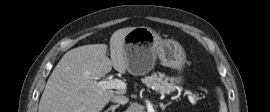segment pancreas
<instances>
[{"instance_id": "pancreas-1", "label": "pancreas", "mask_w": 270, "mask_h": 112, "mask_svg": "<svg viewBox=\"0 0 270 112\" xmlns=\"http://www.w3.org/2000/svg\"><path fill=\"white\" fill-rule=\"evenodd\" d=\"M169 78L164 73H153L150 76H146L142 79V82L160 94L169 93L174 89L173 82H168Z\"/></svg>"}]
</instances>
